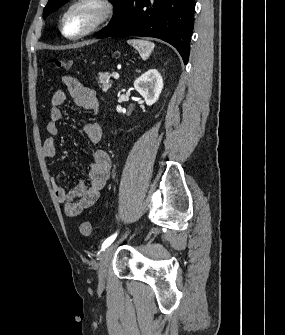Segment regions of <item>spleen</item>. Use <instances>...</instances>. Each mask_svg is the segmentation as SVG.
I'll use <instances>...</instances> for the list:
<instances>
[{
    "label": "spleen",
    "mask_w": 285,
    "mask_h": 335,
    "mask_svg": "<svg viewBox=\"0 0 285 335\" xmlns=\"http://www.w3.org/2000/svg\"><path fill=\"white\" fill-rule=\"evenodd\" d=\"M127 44L133 46L137 52H139L142 60H148L151 52L155 48L153 42H147V40H127Z\"/></svg>",
    "instance_id": "3e777b00"
}]
</instances>
